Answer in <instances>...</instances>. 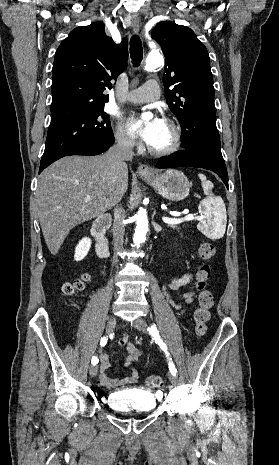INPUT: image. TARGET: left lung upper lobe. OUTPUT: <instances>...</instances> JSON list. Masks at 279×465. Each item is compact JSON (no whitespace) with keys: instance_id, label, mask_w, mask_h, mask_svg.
<instances>
[{"instance_id":"5c2ea615","label":"left lung upper lobe","mask_w":279,"mask_h":465,"mask_svg":"<svg viewBox=\"0 0 279 465\" xmlns=\"http://www.w3.org/2000/svg\"><path fill=\"white\" fill-rule=\"evenodd\" d=\"M152 38L165 55V97L182 127L181 146L224 162L207 49L189 27L171 22L158 23Z\"/></svg>"}]
</instances>
